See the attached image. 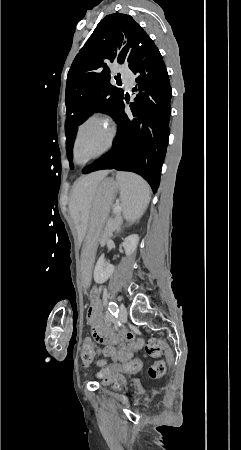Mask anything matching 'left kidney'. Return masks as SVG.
<instances>
[{
    "label": "left kidney",
    "instance_id": "obj_1",
    "mask_svg": "<svg viewBox=\"0 0 241 450\" xmlns=\"http://www.w3.org/2000/svg\"><path fill=\"white\" fill-rule=\"evenodd\" d=\"M138 242L139 238L137 234H132V236L125 238L124 242H122V246L125 248L126 256H131V254L135 252ZM114 270V266H111V264H106L104 254H102L94 270V280L96 284H104V282H107L108 278L112 276Z\"/></svg>",
    "mask_w": 241,
    "mask_h": 450
}]
</instances>
